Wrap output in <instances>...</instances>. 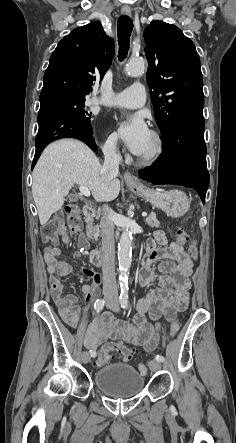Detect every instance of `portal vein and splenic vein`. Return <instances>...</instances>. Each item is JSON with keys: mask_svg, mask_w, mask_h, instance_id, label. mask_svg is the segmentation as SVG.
<instances>
[{"mask_svg": "<svg viewBox=\"0 0 236 443\" xmlns=\"http://www.w3.org/2000/svg\"><path fill=\"white\" fill-rule=\"evenodd\" d=\"M79 190H80V192H81L84 196H86V197H89V196H90V190H89L88 188H86V187H84V186H80V187H79ZM142 216H143V217H146V216H147V213H146V212H143V213H142Z\"/></svg>", "mask_w": 236, "mask_h": 443, "instance_id": "18ae733b", "label": "portal vein and splenic vein"}]
</instances>
